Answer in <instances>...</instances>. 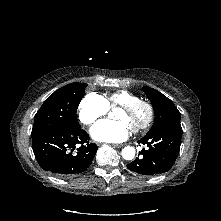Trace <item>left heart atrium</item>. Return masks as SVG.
<instances>
[{"label":"left heart atrium","mask_w":221,"mask_h":221,"mask_svg":"<svg viewBox=\"0 0 221 221\" xmlns=\"http://www.w3.org/2000/svg\"><path fill=\"white\" fill-rule=\"evenodd\" d=\"M91 136L100 142H122L130 134V127L123 120H102L91 128Z\"/></svg>","instance_id":"left-heart-atrium-1"}]
</instances>
